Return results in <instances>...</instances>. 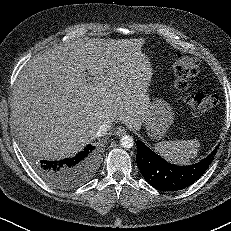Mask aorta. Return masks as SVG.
Segmentation results:
<instances>
[{"mask_svg": "<svg viewBox=\"0 0 231 231\" xmlns=\"http://www.w3.org/2000/svg\"><path fill=\"white\" fill-rule=\"evenodd\" d=\"M120 143L123 148L129 149L134 145V139L130 135H124Z\"/></svg>", "mask_w": 231, "mask_h": 231, "instance_id": "aorta-1", "label": "aorta"}]
</instances>
